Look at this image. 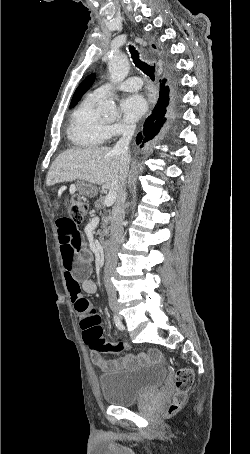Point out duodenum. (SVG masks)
I'll list each match as a JSON object with an SVG mask.
<instances>
[{
    "label": "duodenum",
    "instance_id": "410a0bca",
    "mask_svg": "<svg viewBox=\"0 0 250 454\" xmlns=\"http://www.w3.org/2000/svg\"><path fill=\"white\" fill-rule=\"evenodd\" d=\"M102 247H103L104 257H105V259H108V257L110 256V252H111V243H110V241L109 240H104L103 244H102Z\"/></svg>",
    "mask_w": 250,
    "mask_h": 454
}]
</instances>
